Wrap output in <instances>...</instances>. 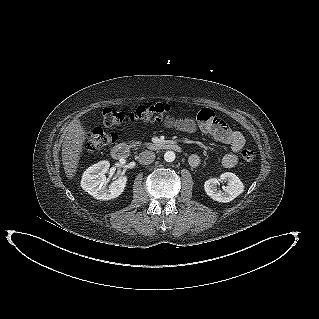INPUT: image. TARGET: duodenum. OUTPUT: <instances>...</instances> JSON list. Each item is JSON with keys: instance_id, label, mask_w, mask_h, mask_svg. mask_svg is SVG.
<instances>
[{"instance_id": "1", "label": "duodenum", "mask_w": 319, "mask_h": 319, "mask_svg": "<svg viewBox=\"0 0 319 319\" xmlns=\"http://www.w3.org/2000/svg\"><path fill=\"white\" fill-rule=\"evenodd\" d=\"M149 149L153 151L158 150H172L176 152L181 151V147L171 141H163L149 145ZM129 153V146L126 143H119L115 145L111 150V155L115 160H121L127 157Z\"/></svg>"}]
</instances>
